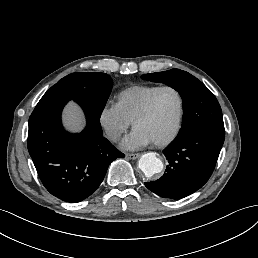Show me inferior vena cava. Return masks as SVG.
<instances>
[{
    "label": "inferior vena cava",
    "instance_id": "obj_1",
    "mask_svg": "<svg viewBox=\"0 0 258 258\" xmlns=\"http://www.w3.org/2000/svg\"><path fill=\"white\" fill-rule=\"evenodd\" d=\"M106 134L113 141H117L120 138V134L114 132V130L110 128L106 129Z\"/></svg>",
    "mask_w": 258,
    "mask_h": 258
}]
</instances>
